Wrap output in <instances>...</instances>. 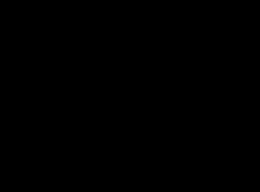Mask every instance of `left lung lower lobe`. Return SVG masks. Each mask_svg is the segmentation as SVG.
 <instances>
[{
	"label": "left lung lower lobe",
	"mask_w": 260,
	"mask_h": 192,
	"mask_svg": "<svg viewBox=\"0 0 260 192\" xmlns=\"http://www.w3.org/2000/svg\"><path fill=\"white\" fill-rule=\"evenodd\" d=\"M200 108L206 109L208 111V114H202L203 116L200 120L202 123V126L200 127V129H202V130H199L198 133L192 134L198 140H196V142H188L187 135H189L188 137H190V139H191L192 135L190 133L186 134L187 133L185 131L186 125L181 124L180 120H176V122L173 124V127L170 128V131L173 132L174 134L177 131H185L184 133H178L179 136L185 137V140L179 146H175L172 148L173 151L175 149V152H176V154H174V155L165 154L160 149L153 148V152L160 160H162L164 162H167L170 160L177 161V162L185 161L187 159L192 158L196 154H198L205 147L202 144H200L202 146H199V148L196 146L198 143H202L199 140L202 138H198V137H201L200 133H204V131L206 129L212 130L213 127L216 126L218 119H219L220 107H219V104L217 102H215L214 100H206V101H203L201 104H199V107L197 108V110L200 111L199 110ZM188 129H190V128H188ZM187 152L189 154L186 156L185 153H187Z\"/></svg>",
	"instance_id": "0a47b994"
}]
</instances>
